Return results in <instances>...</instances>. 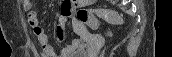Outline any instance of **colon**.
Here are the masks:
<instances>
[{"label": "colon", "mask_w": 172, "mask_h": 57, "mask_svg": "<svg viewBox=\"0 0 172 57\" xmlns=\"http://www.w3.org/2000/svg\"><path fill=\"white\" fill-rule=\"evenodd\" d=\"M73 15L78 21L88 25L92 29H96L99 26V19L117 24L119 22L118 15L115 11L99 8L95 10H88L85 8H78L75 11H69L68 15Z\"/></svg>", "instance_id": "5ec220e1"}]
</instances>
